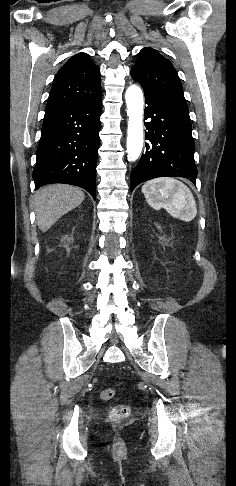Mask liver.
Returning a JSON list of instances; mask_svg holds the SVG:
<instances>
[{
    "label": "liver",
    "mask_w": 236,
    "mask_h": 486,
    "mask_svg": "<svg viewBox=\"0 0 236 486\" xmlns=\"http://www.w3.org/2000/svg\"><path fill=\"white\" fill-rule=\"evenodd\" d=\"M84 197L79 188L65 184H53L39 189L34 200L39 229L46 232L64 214L78 207Z\"/></svg>",
    "instance_id": "1"
}]
</instances>
